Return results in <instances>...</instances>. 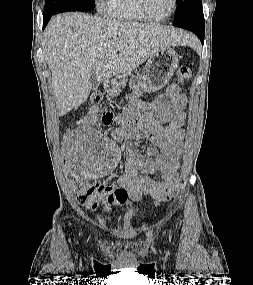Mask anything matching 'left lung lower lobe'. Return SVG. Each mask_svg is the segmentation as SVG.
Here are the masks:
<instances>
[{
    "label": "left lung lower lobe",
    "instance_id": "obj_1",
    "mask_svg": "<svg viewBox=\"0 0 253 285\" xmlns=\"http://www.w3.org/2000/svg\"><path fill=\"white\" fill-rule=\"evenodd\" d=\"M173 25L194 32L200 39L201 43H204L205 21L202 9L191 13L190 15L186 16L179 22L174 23Z\"/></svg>",
    "mask_w": 253,
    "mask_h": 285
}]
</instances>
